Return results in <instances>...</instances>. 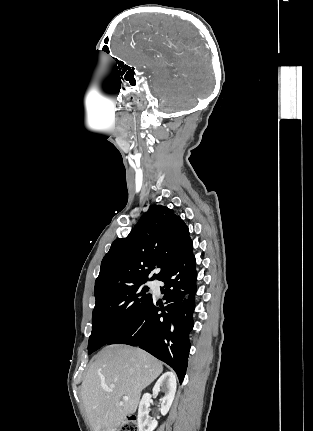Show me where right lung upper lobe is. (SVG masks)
I'll return each mask as SVG.
<instances>
[{
  "label": "right lung upper lobe",
  "instance_id": "cb5924a9",
  "mask_svg": "<svg viewBox=\"0 0 313 431\" xmlns=\"http://www.w3.org/2000/svg\"><path fill=\"white\" fill-rule=\"evenodd\" d=\"M188 227L172 209L154 205L126 238L116 239L101 262L95 281L96 301L130 287L145 285L154 266L161 280L185 251Z\"/></svg>",
  "mask_w": 313,
  "mask_h": 431
}]
</instances>
